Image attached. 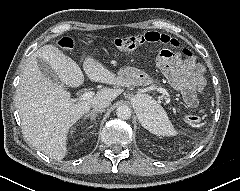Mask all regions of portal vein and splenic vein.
<instances>
[{
    "label": "portal vein and splenic vein",
    "instance_id": "18ae733b",
    "mask_svg": "<svg viewBox=\"0 0 240 191\" xmlns=\"http://www.w3.org/2000/svg\"><path fill=\"white\" fill-rule=\"evenodd\" d=\"M93 96H94L93 91H87V92L83 93L82 95H80L79 100H87V99L92 98Z\"/></svg>",
    "mask_w": 240,
    "mask_h": 191
}]
</instances>
